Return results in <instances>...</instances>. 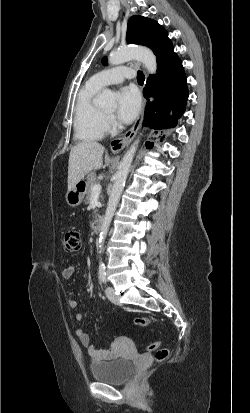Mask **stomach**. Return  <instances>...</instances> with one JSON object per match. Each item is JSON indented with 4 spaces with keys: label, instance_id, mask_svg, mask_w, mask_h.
<instances>
[{
    "label": "stomach",
    "instance_id": "obj_1",
    "mask_svg": "<svg viewBox=\"0 0 250 413\" xmlns=\"http://www.w3.org/2000/svg\"><path fill=\"white\" fill-rule=\"evenodd\" d=\"M86 190V183L81 180L79 181L72 190L66 193V202L71 207H76L80 205L84 199Z\"/></svg>",
    "mask_w": 250,
    "mask_h": 413
}]
</instances>
